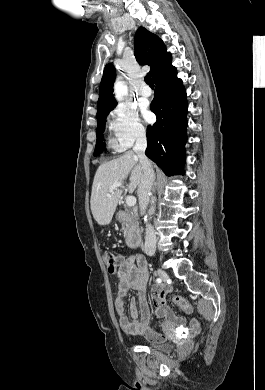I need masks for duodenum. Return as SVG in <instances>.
I'll return each mask as SVG.
<instances>
[{"label":"duodenum","instance_id":"duodenum-1","mask_svg":"<svg viewBox=\"0 0 265 390\" xmlns=\"http://www.w3.org/2000/svg\"><path fill=\"white\" fill-rule=\"evenodd\" d=\"M116 219L118 222L125 223L130 226L126 240L127 247L130 249L138 248L141 244V236L133 227V219L131 215L124 211H120L117 213Z\"/></svg>","mask_w":265,"mask_h":390}]
</instances>
